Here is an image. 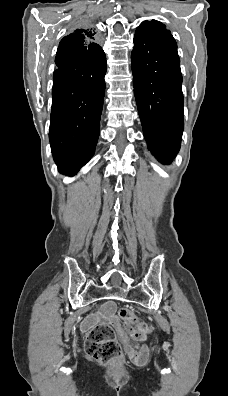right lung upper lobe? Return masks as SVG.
I'll return each instance as SVG.
<instances>
[{"mask_svg":"<svg viewBox=\"0 0 228 396\" xmlns=\"http://www.w3.org/2000/svg\"><path fill=\"white\" fill-rule=\"evenodd\" d=\"M94 35L95 32L92 29H77L64 37L60 45L70 44L78 50H86V47H90L93 50L96 47V43L92 42Z\"/></svg>","mask_w":228,"mask_h":396,"instance_id":"right-lung-upper-lobe-1","label":"right lung upper lobe"}]
</instances>
